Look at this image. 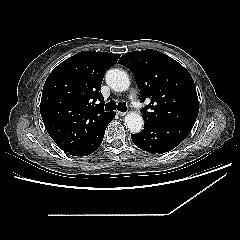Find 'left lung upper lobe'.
<instances>
[{
	"label": "left lung upper lobe",
	"mask_w": 240,
	"mask_h": 240,
	"mask_svg": "<svg viewBox=\"0 0 240 240\" xmlns=\"http://www.w3.org/2000/svg\"><path fill=\"white\" fill-rule=\"evenodd\" d=\"M119 63L134 73L142 101L150 100L142 109L145 122H195L199 111L196 87L180 63L152 49L128 52Z\"/></svg>",
	"instance_id": "obj_1"
}]
</instances>
